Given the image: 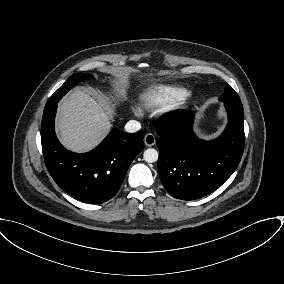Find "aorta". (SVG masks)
I'll return each instance as SVG.
<instances>
[{
  "instance_id": "762f6f07",
  "label": "aorta",
  "mask_w": 284,
  "mask_h": 284,
  "mask_svg": "<svg viewBox=\"0 0 284 284\" xmlns=\"http://www.w3.org/2000/svg\"><path fill=\"white\" fill-rule=\"evenodd\" d=\"M158 152L154 148H148L143 153V158L148 163H154L158 160Z\"/></svg>"
}]
</instances>
